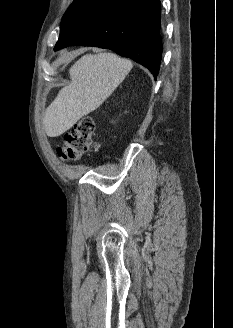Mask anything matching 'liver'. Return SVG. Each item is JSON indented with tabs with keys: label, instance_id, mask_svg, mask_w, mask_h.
Wrapping results in <instances>:
<instances>
[{
	"label": "liver",
	"instance_id": "obj_1",
	"mask_svg": "<svg viewBox=\"0 0 233 328\" xmlns=\"http://www.w3.org/2000/svg\"><path fill=\"white\" fill-rule=\"evenodd\" d=\"M132 62L113 53L87 54L69 70L71 82L46 109L43 125L49 137L68 131L96 110L125 79Z\"/></svg>",
	"mask_w": 233,
	"mask_h": 328
}]
</instances>
